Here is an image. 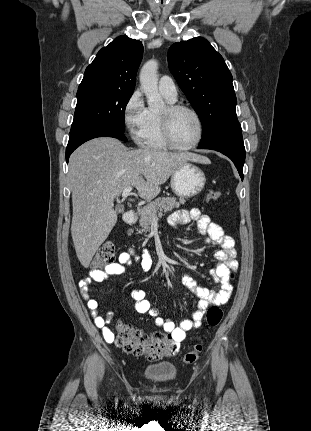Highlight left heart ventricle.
Returning a JSON list of instances; mask_svg holds the SVG:
<instances>
[{"label": "left heart ventricle", "mask_w": 311, "mask_h": 431, "mask_svg": "<svg viewBox=\"0 0 311 431\" xmlns=\"http://www.w3.org/2000/svg\"><path fill=\"white\" fill-rule=\"evenodd\" d=\"M172 128L174 140L181 146L194 143L200 133L197 118L187 111H182L175 117Z\"/></svg>", "instance_id": "obj_1"}]
</instances>
